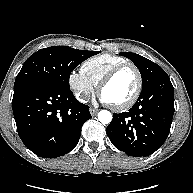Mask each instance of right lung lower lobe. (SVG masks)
Listing matches in <instances>:
<instances>
[{
    "instance_id": "1",
    "label": "right lung lower lobe",
    "mask_w": 193,
    "mask_h": 193,
    "mask_svg": "<svg viewBox=\"0 0 193 193\" xmlns=\"http://www.w3.org/2000/svg\"><path fill=\"white\" fill-rule=\"evenodd\" d=\"M13 114L18 134L36 155L55 158L78 143L82 125L91 118L89 107L73 92L50 83H30L14 89Z\"/></svg>"
}]
</instances>
